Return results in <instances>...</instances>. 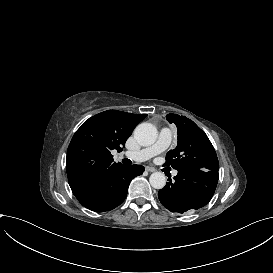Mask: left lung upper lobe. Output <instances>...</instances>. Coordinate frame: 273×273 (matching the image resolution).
<instances>
[{
    "label": "left lung upper lobe",
    "mask_w": 273,
    "mask_h": 273,
    "mask_svg": "<svg viewBox=\"0 0 273 273\" xmlns=\"http://www.w3.org/2000/svg\"><path fill=\"white\" fill-rule=\"evenodd\" d=\"M177 126L178 145L166 155L165 165L176 170L219 171L216 152L209 138L192 120L178 114H167Z\"/></svg>",
    "instance_id": "left-lung-upper-lobe-1"
}]
</instances>
